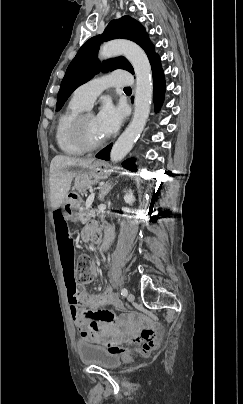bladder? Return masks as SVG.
Masks as SVG:
<instances>
[{"mask_svg":"<svg viewBox=\"0 0 243 404\" xmlns=\"http://www.w3.org/2000/svg\"><path fill=\"white\" fill-rule=\"evenodd\" d=\"M77 353L81 362L88 366L115 370L122 364L118 354L109 351L105 347L91 343H79L77 345Z\"/></svg>","mask_w":243,"mask_h":404,"instance_id":"obj_1","label":"bladder"}]
</instances>
